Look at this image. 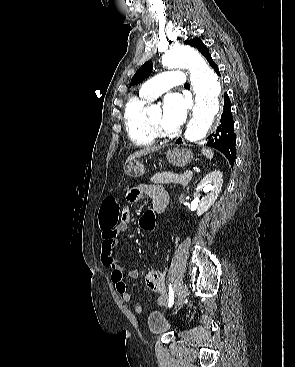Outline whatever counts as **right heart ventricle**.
I'll return each mask as SVG.
<instances>
[{
	"label": "right heart ventricle",
	"mask_w": 295,
	"mask_h": 367,
	"mask_svg": "<svg viewBox=\"0 0 295 367\" xmlns=\"http://www.w3.org/2000/svg\"><path fill=\"white\" fill-rule=\"evenodd\" d=\"M146 103L145 99L132 98L124 109V125L127 135L137 146L152 145L156 139L147 124Z\"/></svg>",
	"instance_id": "right-heart-ventricle-1"
}]
</instances>
